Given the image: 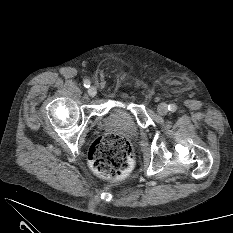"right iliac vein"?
Segmentation results:
<instances>
[{
	"label": "right iliac vein",
	"instance_id": "right-iliac-vein-1",
	"mask_svg": "<svg viewBox=\"0 0 233 233\" xmlns=\"http://www.w3.org/2000/svg\"><path fill=\"white\" fill-rule=\"evenodd\" d=\"M88 94H89V96H91V97L96 96V94H97V89H96V87L91 86V87L88 89Z\"/></svg>",
	"mask_w": 233,
	"mask_h": 233
}]
</instances>
